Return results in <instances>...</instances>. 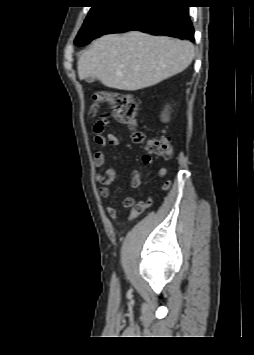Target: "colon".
<instances>
[{
	"mask_svg": "<svg viewBox=\"0 0 254 355\" xmlns=\"http://www.w3.org/2000/svg\"><path fill=\"white\" fill-rule=\"evenodd\" d=\"M107 103L112 107L114 118L121 124L133 127L132 140L137 144H145L146 151L161 158H170L172 147L169 137L149 138L147 134L136 127V101L134 96L126 91L119 90H97L93 94V105L91 113L96 114L99 106ZM106 119V118H103ZM98 122V130L105 127L104 120ZM171 186V181L164 182L162 189L166 190Z\"/></svg>",
	"mask_w": 254,
	"mask_h": 355,
	"instance_id": "obj_1",
	"label": "colon"
}]
</instances>
